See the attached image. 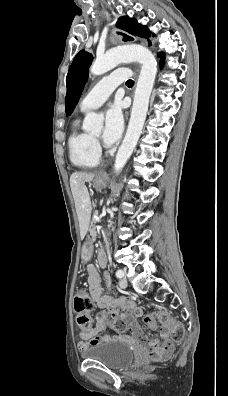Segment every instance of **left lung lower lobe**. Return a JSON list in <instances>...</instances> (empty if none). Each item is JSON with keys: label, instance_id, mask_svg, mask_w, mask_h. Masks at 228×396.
Wrapping results in <instances>:
<instances>
[{"label": "left lung lower lobe", "instance_id": "1", "mask_svg": "<svg viewBox=\"0 0 228 396\" xmlns=\"http://www.w3.org/2000/svg\"><path fill=\"white\" fill-rule=\"evenodd\" d=\"M149 45H151V43H149ZM160 59H161V64L163 63V60H164V54H160Z\"/></svg>", "mask_w": 228, "mask_h": 396}]
</instances>
